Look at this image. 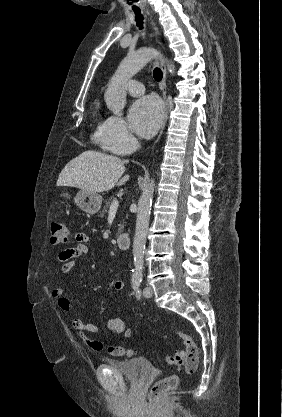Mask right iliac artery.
<instances>
[{
    "instance_id": "right-iliac-artery-1",
    "label": "right iliac artery",
    "mask_w": 282,
    "mask_h": 417,
    "mask_svg": "<svg viewBox=\"0 0 282 417\" xmlns=\"http://www.w3.org/2000/svg\"><path fill=\"white\" fill-rule=\"evenodd\" d=\"M140 283H141V279H138V278L133 279V281H132L133 289L137 290L138 287L140 286Z\"/></svg>"
}]
</instances>
